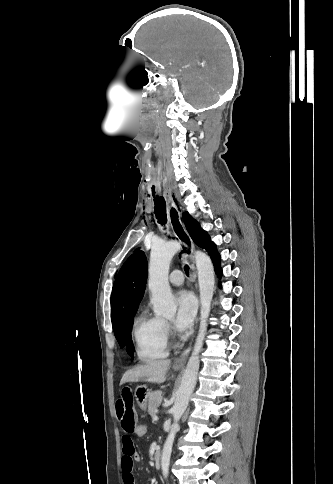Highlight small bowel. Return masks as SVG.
<instances>
[{
    "instance_id": "1",
    "label": "small bowel",
    "mask_w": 333,
    "mask_h": 484,
    "mask_svg": "<svg viewBox=\"0 0 333 484\" xmlns=\"http://www.w3.org/2000/svg\"><path fill=\"white\" fill-rule=\"evenodd\" d=\"M116 419L122 430L123 456L121 471L124 484H134L133 466L140 457L135 451L133 435L138 424V414L134 402V393L131 387L123 386L115 403Z\"/></svg>"
}]
</instances>
